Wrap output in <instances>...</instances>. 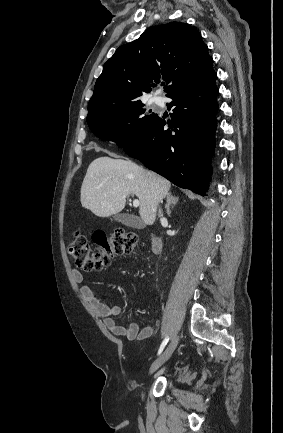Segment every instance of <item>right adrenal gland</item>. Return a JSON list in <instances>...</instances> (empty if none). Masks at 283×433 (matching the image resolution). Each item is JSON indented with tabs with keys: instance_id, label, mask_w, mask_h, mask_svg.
Returning <instances> with one entry per match:
<instances>
[{
	"instance_id": "obj_1",
	"label": "right adrenal gland",
	"mask_w": 283,
	"mask_h": 433,
	"mask_svg": "<svg viewBox=\"0 0 283 433\" xmlns=\"http://www.w3.org/2000/svg\"><path fill=\"white\" fill-rule=\"evenodd\" d=\"M179 196H173L172 192H167V202H166V214H168V217H170V208H173L175 206L176 202H178Z\"/></svg>"
}]
</instances>
